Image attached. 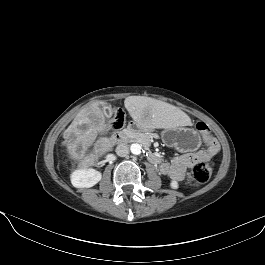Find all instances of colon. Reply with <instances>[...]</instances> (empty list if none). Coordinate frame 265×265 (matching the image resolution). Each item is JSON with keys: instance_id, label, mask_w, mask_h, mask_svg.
<instances>
[{"instance_id": "colon-1", "label": "colon", "mask_w": 265, "mask_h": 265, "mask_svg": "<svg viewBox=\"0 0 265 265\" xmlns=\"http://www.w3.org/2000/svg\"><path fill=\"white\" fill-rule=\"evenodd\" d=\"M126 123V114L124 110L117 108L114 109L110 126L114 130H120L125 126ZM198 131H200L205 141H209L211 136L209 135L208 126L204 122H198L196 125ZM214 168V163L212 161H203L194 165L191 171V179L196 184L206 183L212 174Z\"/></svg>"}]
</instances>
